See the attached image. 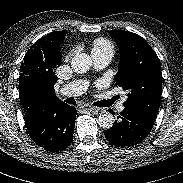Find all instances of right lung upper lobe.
Returning <instances> with one entry per match:
<instances>
[{"instance_id":"right-lung-upper-lobe-1","label":"right lung upper lobe","mask_w":183,"mask_h":183,"mask_svg":"<svg viewBox=\"0 0 183 183\" xmlns=\"http://www.w3.org/2000/svg\"><path fill=\"white\" fill-rule=\"evenodd\" d=\"M64 38L65 31L51 32L36 41L23 58L19 96L24 111L40 102L60 101L54 91V68L61 61L60 45Z\"/></svg>"}]
</instances>
